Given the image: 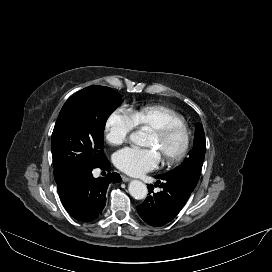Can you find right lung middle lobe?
<instances>
[{"mask_svg":"<svg viewBox=\"0 0 272 272\" xmlns=\"http://www.w3.org/2000/svg\"><path fill=\"white\" fill-rule=\"evenodd\" d=\"M122 96L105 86H89L70 97L57 118L51 140L54 177L72 178L100 166L104 154V128Z\"/></svg>","mask_w":272,"mask_h":272,"instance_id":"1","label":"right lung middle lobe"}]
</instances>
